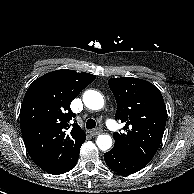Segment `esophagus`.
<instances>
[{
	"label": "esophagus",
	"instance_id": "34e87169",
	"mask_svg": "<svg viewBox=\"0 0 194 194\" xmlns=\"http://www.w3.org/2000/svg\"><path fill=\"white\" fill-rule=\"evenodd\" d=\"M101 132H102V130H101L100 128H97V129L91 130V131H90V134H91L92 136H96V135L100 134Z\"/></svg>",
	"mask_w": 194,
	"mask_h": 194
}]
</instances>
